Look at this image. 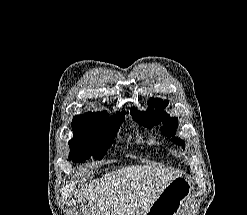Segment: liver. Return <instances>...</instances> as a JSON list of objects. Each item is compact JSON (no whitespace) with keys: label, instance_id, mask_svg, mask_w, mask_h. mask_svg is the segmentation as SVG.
<instances>
[{"label":"liver","instance_id":"liver-1","mask_svg":"<svg viewBox=\"0 0 247 215\" xmlns=\"http://www.w3.org/2000/svg\"><path fill=\"white\" fill-rule=\"evenodd\" d=\"M177 175L154 164L127 166L86 185L84 215H144Z\"/></svg>","mask_w":247,"mask_h":215}]
</instances>
